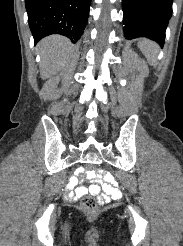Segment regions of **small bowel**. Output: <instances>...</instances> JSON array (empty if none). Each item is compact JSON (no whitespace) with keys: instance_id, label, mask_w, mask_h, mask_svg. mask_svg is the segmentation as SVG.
Instances as JSON below:
<instances>
[{"instance_id":"small-bowel-1","label":"small bowel","mask_w":183,"mask_h":246,"mask_svg":"<svg viewBox=\"0 0 183 246\" xmlns=\"http://www.w3.org/2000/svg\"><path fill=\"white\" fill-rule=\"evenodd\" d=\"M83 168H78L76 174L70 178L69 183L64 185L65 189H74L73 193H68V198L77 199L88 192L93 194H99L102 192V198L116 199L120 198V190L116 186L117 175H109V170H101L97 167L96 170L87 172L88 178L92 179V183L89 187L81 185L79 179H83ZM100 175H104L102 179Z\"/></svg>"}]
</instances>
